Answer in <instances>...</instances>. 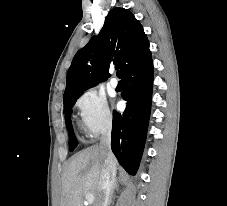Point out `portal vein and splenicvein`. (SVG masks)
<instances>
[{
    "label": "portal vein and splenic vein",
    "mask_w": 227,
    "mask_h": 206,
    "mask_svg": "<svg viewBox=\"0 0 227 206\" xmlns=\"http://www.w3.org/2000/svg\"><path fill=\"white\" fill-rule=\"evenodd\" d=\"M85 197H86V200H87L88 203H93V201H94V195L93 194L86 193Z\"/></svg>",
    "instance_id": "1"
}]
</instances>
